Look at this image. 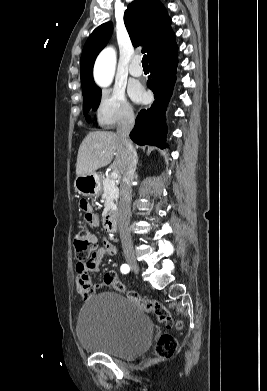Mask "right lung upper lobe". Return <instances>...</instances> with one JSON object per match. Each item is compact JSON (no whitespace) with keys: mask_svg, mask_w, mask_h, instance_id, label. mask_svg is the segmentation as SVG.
<instances>
[{"mask_svg":"<svg viewBox=\"0 0 267 391\" xmlns=\"http://www.w3.org/2000/svg\"><path fill=\"white\" fill-rule=\"evenodd\" d=\"M124 22L133 46L144 45L148 59L168 49L175 42L171 19L159 0H135L124 13ZM112 24L97 27L84 45L80 60L83 92L96 88L93 65L99 52L106 46L112 32Z\"/></svg>","mask_w":267,"mask_h":391,"instance_id":"right-lung-upper-lobe-1","label":"right lung upper lobe"}]
</instances>
